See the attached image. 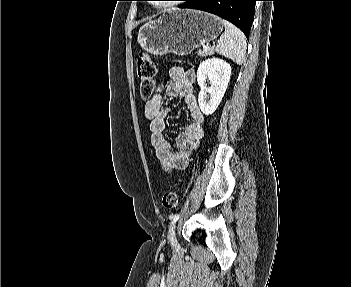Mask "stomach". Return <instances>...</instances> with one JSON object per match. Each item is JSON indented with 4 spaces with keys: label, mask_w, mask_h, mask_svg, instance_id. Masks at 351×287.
Wrapping results in <instances>:
<instances>
[{
    "label": "stomach",
    "mask_w": 351,
    "mask_h": 287,
    "mask_svg": "<svg viewBox=\"0 0 351 287\" xmlns=\"http://www.w3.org/2000/svg\"><path fill=\"white\" fill-rule=\"evenodd\" d=\"M222 31V21L215 15L192 9L170 10L140 27L137 41L143 50L156 56H185Z\"/></svg>",
    "instance_id": "obj_1"
}]
</instances>
